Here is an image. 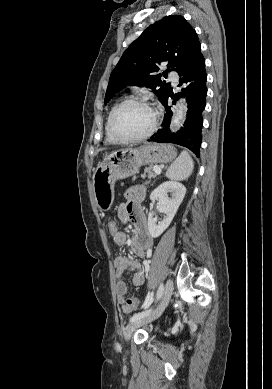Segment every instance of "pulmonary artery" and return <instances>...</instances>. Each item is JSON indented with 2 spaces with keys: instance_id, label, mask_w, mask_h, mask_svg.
<instances>
[{
  "instance_id": "1",
  "label": "pulmonary artery",
  "mask_w": 272,
  "mask_h": 389,
  "mask_svg": "<svg viewBox=\"0 0 272 389\" xmlns=\"http://www.w3.org/2000/svg\"><path fill=\"white\" fill-rule=\"evenodd\" d=\"M169 78L172 80V82H173L174 84H176V83L178 82L179 75H178L177 72L171 71V72L169 73Z\"/></svg>"
}]
</instances>
